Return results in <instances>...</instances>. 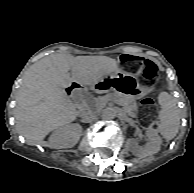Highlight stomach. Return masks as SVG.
<instances>
[{"label": "stomach", "instance_id": "obj_1", "mask_svg": "<svg viewBox=\"0 0 194 193\" xmlns=\"http://www.w3.org/2000/svg\"><path fill=\"white\" fill-rule=\"evenodd\" d=\"M95 87L101 90H118L132 98H140L153 89L140 85L134 75L122 71L104 76L95 84Z\"/></svg>", "mask_w": 194, "mask_h": 193}]
</instances>
